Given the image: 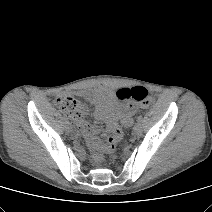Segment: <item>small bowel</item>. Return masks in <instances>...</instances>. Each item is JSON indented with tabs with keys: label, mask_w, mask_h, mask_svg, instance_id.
<instances>
[{
	"label": "small bowel",
	"mask_w": 212,
	"mask_h": 212,
	"mask_svg": "<svg viewBox=\"0 0 212 212\" xmlns=\"http://www.w3.org/2000/svg\"><path fill=\"white\" fill-rule=\"evenodd\" d=\"M93 104V114L98 121L106 124V131L113 132L118 125L129 126L132 123V116L139 110L134 104H124L120 102L107 88L99 87L93 90L79 93ZM78 132L86 138L90 147L94 150L99 148V140L96 135L98 128L89 124L84 117L76 119Z\"/></svg>",
	"instance_id": "small-bowel-1"
}]
</instances>
